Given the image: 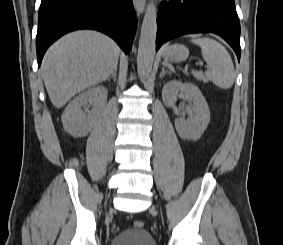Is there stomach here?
I'll return each instance as SVG.
<instances>
[{
	"label": "stomach",
	"mask_w": 283,
	"mask_h": 245,
	"mask_svg": "<svg viewBox=\"0 0 283 245\" xmlns=\"http://www.w3.org/2000/svg\"><path fill=\"white\" fill-rule=\"evenodd\" d=\"M189 56V50L184 45L174 44L163 52V58L168 62H182Z\"/></svg>",
	"instance_id": "obj_1"
}]
</instances>
